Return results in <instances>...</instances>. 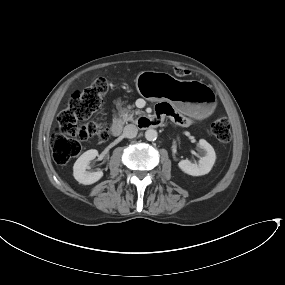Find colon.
I'll list each match as a JSON object with an SVG mask.
<instances>
[{"label": "colon", "mask_w": 285, "mask_h": 285, "mask_svg": "<svg viewBox=\"0 0 285 285\" xmlns=\"http://www.w3.org/2000/svg\"><path fill=\"white\" fill-rule=\"evenodd\" d=\"M179 78L188 77L191 71L186 68H175ZM109 89L106 78L99 77L85 89L76 90L65 103L58 115V126L50 137V146L56 163L66 164L79 155L80 143L90 137L97 136L101 140L108 138V125L105 123L84 122L100 107ZM176 121L185 124L184 117L177 116ZM214 137L223 143L230 141L231 129L228 119L220 116L211 124Z\"/></svg>", "instance_id": "5ec220e1"}]
</instances>
